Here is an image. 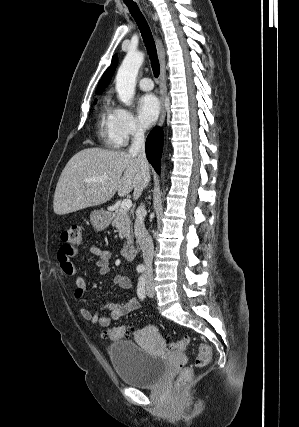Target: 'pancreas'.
<instances>
[{
  "instance_id": "obj_1",
  "label": "pancreas",
  "mask_w": 299,
  "mask_h": 427,
  "mask_svg": "<svg viewBox=\"0 0 299 427\" xmlns=\"http://www.w3.org/2000/svg\"><path fill=\"white\" fill-rule=\"evenodd\" d=\"M112 225L118 229L120 238H126L128 241H132L131 220L127 210L118 207Z\"/></svg>"
}]
</instances>
